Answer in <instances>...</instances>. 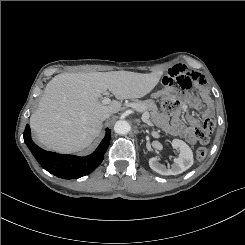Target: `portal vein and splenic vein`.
Returning <instances> with one entry per match:
<instances>
[{"label":"portal vein and splenic vein","instance_id":"1","mask_svg":"<svg viewBox=\"0 0 245 245\" xmlns=\"http://www.w3.org/2000/svg\"><path fill=\"white\" fill-rule=\"evenodd\" d=\"M110 102H111V100H110L109 98H107V97L103 98V100H102V103H103L104 105H107V104H109ZM129 107H131V108H133V109H136V107H135L133 104H131ZM142 121L145 122V123H149V114H148L147 112H145V113L142 115Z\"/></svg>","mask_w":245,"mask_h":245}]
</instances>
